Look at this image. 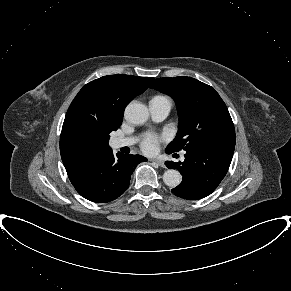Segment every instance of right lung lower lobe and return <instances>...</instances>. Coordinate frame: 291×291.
<instances>
[{
    "mask_svg": "<svg viewBox=\"0 0 291 291\" xmlns=\"http://www.w3.org/2000/svg\"><path fill=\"white\" fill-rule=\"evenodd\" d=\"M147 161L141 155L113 152L90 166L73 184L76 191L93 202H110L120 197L129 187L130 177L139 162Z\"/></svg>",
    "mask_w": 291,
    "mask_h": 291,
    "instance_id": "1",
    "label": "right lung lower lobe"
}]
</instances>
